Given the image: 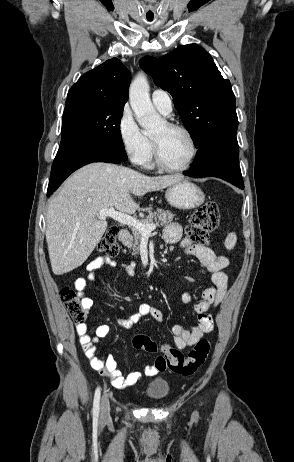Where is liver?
I'll use <instances>...</instances> for the list:
<instances>
[{"label":"liver","mask_w":294,"mask_h":462,"mask_svg":"<svg viewBox=\"0 0 294 462\" xmlns=\"http://www.w3.org/2000/svg\"><path fill=\"white\" fill-rule=\"evenodd\" d=\"M183 179L181 175L149 177L107 163L78 169L65 181L47 211L46 241L53 273H68L90 256L108 225L97 216L100 210L115 207L134 214L139 204L131 194L141 197Z\"/></svg>","instance_id":"1"}]
</instances>
